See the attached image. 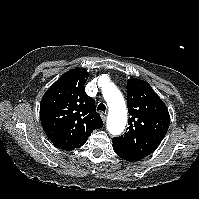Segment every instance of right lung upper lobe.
Wrapping results in <instances>:
<instances>
[{"mask_svg": "<svg viewBox=\"0 0 199 199\" xmlns=\"http://www.w3.org/2000/svg\"><path fill=\"white\" fill-rule=\"evenodd\" d=\"M89 73L77 68L64 73L43 95L40 118L43 129L59 149L85 144L94 129L103 126L95 101L85 93Z\"/></svg>", "mask_w": 199, "mask_h": 199, "instance_id": "cb5924a9", "label": "right lung upper lobe"}]
</instances>
